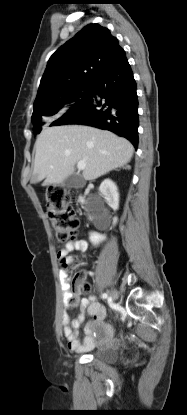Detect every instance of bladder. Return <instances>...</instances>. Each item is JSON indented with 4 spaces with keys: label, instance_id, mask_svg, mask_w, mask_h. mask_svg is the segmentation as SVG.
Instances as JSON below:
<instances>
[{
    "label": "bladder",
    "instance_id": "obj_1",
    "mask_svg": "<svg viewBox=\"0 0 187 415\" xmlns=\"http://www.w3.org/2000/svg\"><path fill=\"white\" fill-rule=\"evenodd\" d=\"M121 349L118 346L99 348L91 353V356L105 363L116 362L120 357Z\"/></svg>",
    "mask_w": 187,
    "mask_h": 415
}]
</instances>
